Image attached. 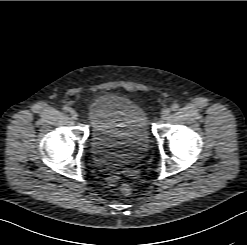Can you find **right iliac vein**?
Here are the masks:
<instances>
[{"label":"right iliac vein","mask_w":247,"mask_h":245,"mask_svg":"<svg viewBox=\"0 0 247 245\" xmlns=\"http://www.w3.org/2000/svg\"><path fill=\"white\" fill-rule=\"evenodd\" d=\"M70 116H71V118L73 120H77L78 119V113L74 109L70 110Z\"/></svg>","instance_id":"right-iliac-vein-1"}]
</instances>
